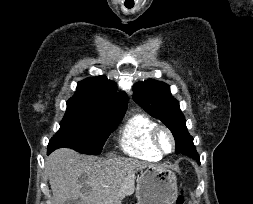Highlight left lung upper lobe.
<instances>
[{
  "label": "left lung upper lobe",
  "mask_w": 253,
  "mask_h": 204,
  "mask_svg": "<svg viewBox=\"0 0 253 204\" xmlns=\"http://www.w3.org/2000/svg\"><path fill=\"white\" fill-rule=\"evenodd\" d=\"M133 99L171 130L176 143V154L188 155L196 150L179 103L170 94L169 85L152 79L137 83Z\"/></svg>",
  "instance_id": "obj_1"
}]
</instances>
